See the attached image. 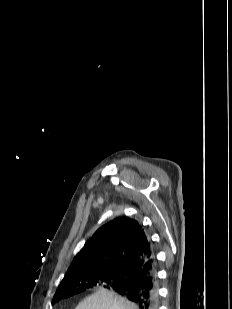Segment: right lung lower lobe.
I'll return each mask as SVG.
<instances>
[{
  "label": "right lung lower lobe",
  "mask_w": 232,
  "mask_h": 309,
  "mask_svg": "<svg viewBox=\"0 0 232 309\" xmlns=\"http://www.w3.org/2000/svg\"><path fill=\"white\" fill-rule=\"evenodd\" d=\"M123 274L126 275L127 281L112 287V289L136 303L139 309H158L155 256L147 259L139 268L130 269Z\"/></svg>",
  "instance_id": "right-lung-lower-lobe-1"
}]
</instances>
